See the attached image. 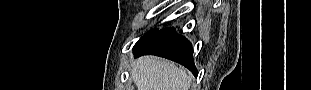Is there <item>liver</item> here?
I'll return each mask as SVG.
<instances>
[{
    "label": "liver",
    "mask_w": 311,
    "mask_h": 90,
    "mask_svg": "<svg viewBox=\"0 0 311 90\" xmlns=\"http://www.w3.org/2000/svg\"><path fill=\"white\" fill-rule=\"evenodd\" d=\"M137 90H189L191 81L186 71L174 62L144 56L132 68Z\"/></svg>",
    "instance_id": "liver-1"
}]
</instances>
